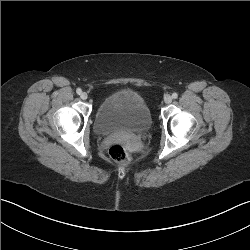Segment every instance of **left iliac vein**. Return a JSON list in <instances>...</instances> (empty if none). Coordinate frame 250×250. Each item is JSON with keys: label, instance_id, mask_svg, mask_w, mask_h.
I'll list each match as a JSON object with an SVG mask.
<instances>
[{"label": "left iliac vein", "instance_id": "left-iliac-vein-1", "mask_svg": "<svg viewBox=\"0 0 250 250\" xmlns=\"http://www.w3.org/2000/svg\"><path fill=\"white\" fill-rule=\"evenodd\" d=\"M164 102H165L166 104H170V103L172 102V96L166 95V96L164 97Z\"/></svg>", "mask_w": 250, "mask_h": 250}]
</instances>
